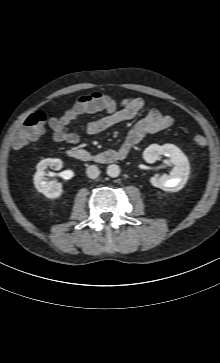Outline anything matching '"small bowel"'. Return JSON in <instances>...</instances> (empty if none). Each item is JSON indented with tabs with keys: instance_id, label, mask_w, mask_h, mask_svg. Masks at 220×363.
<instances>
[{
	"instance_id": "1",
	"label": "small bowel",
	"mask_w": 220,
	"mask_h": 363,
	"mask_svg": "<svg viewBox=\"0 0 220 363\" xmlns=\"http://www.w3.org/2000/svg\"><path fill=\"white\" fill-rule=\"evenodd\" d=\"M144 109L145 101L140 97H127L120 102H116L110 98L106 101H99L93 98L91 94L81 97L71 109L67 110L60 117L52 118L49 121V126L53 130L54 140L71 145H78L80 143V137L75 133L69 132L68 127L83 115L104 112L101 118L89 121L85 125L86 132L95 135L119 123L135 118ZM173 123L174 120L171 116L163 114L156 108L149 109L129 131L122 147L130 150L146 134L167 129Z\"/></svg>"
}]
</instances>
